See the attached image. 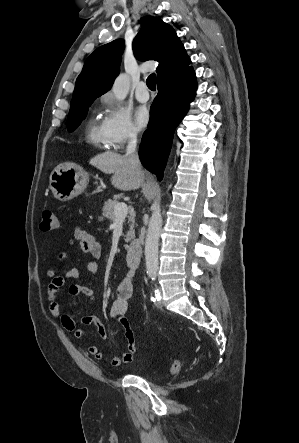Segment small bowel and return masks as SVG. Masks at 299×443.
I'll use <instances>...</instances> for the list:
<instances>
[{
	"mask_svg": "<svg viewBox=\"0 0 299 443\" xmlns=\"http://www.w3.org/2000/svg\"><path fill=\"white\" fill-rule=\"evenodd\" d=\"M66 245L78 246L84 254H89L92 259L87 263V270L93 274H96L98 267L96 260L101 257L102 248L97 239L83 228L77 226L74 228L71 236L67 239ZM59 261H63L66 258V254L63 251L57 253ZM129 266V265H128ZM136 268L129 266V270L119 282L116 289V298L110 307V317L117 321L124 329V334L128 342L127 350L120 356L108 359L95 344L88 347L89 353L98 361L109 362L114 367H119L123 364L130 363L134 360L136 353V343L128 336L127 328V312L129 307V301L133 295L134 290V276ZM48 277L51 279L47 296L49 300V311L52 316L59 319L62 327L73 332L74 337L78 341H84L86 334L85 331L78 327L75 320L67 313H62L60 303L57 300V295L60 289L63 287L67 280H79L83 277V272L77 268H71L64 274H60L57 266H51L47 271ZM68 293L71 296L84 295L91 302H95L96 295L92 288L81 285L71 284L68 288ZM80 324L83 326L94 325L96 327L97 334L103 340L108 339V331L101 320L94 315H85L81 318Z\"/></svg>",
	"mask_w": 299,
	"mask_h": 443,
	"instance_id": "1",
	"label": "small bowel"
}]
</instances>
